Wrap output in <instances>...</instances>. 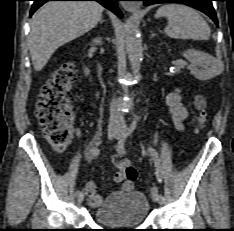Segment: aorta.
<instances>
[{"mask_svg": "<svg viewBox=\"0 0 234 231\" xmlns=\"http://www.w3.org/2000/svg\"><path fill=\"white\" fill-rule=\"evenodd\" d=\"M125 45L132 70L139 74L143 58L142 43L138 26L132 21H128L125 28ZM134 119L137 120L138 117L135 116Z\"/></svg>", "mask_w": 234, "mask_h": 231, "instance_id": "obj_1", "label": "aorta"}]
</instances>
